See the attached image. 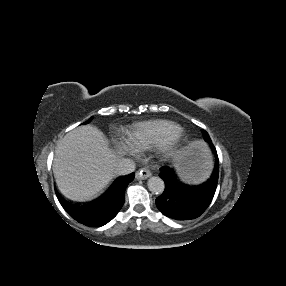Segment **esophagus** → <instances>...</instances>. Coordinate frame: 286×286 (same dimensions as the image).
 Masks as SVG:
<instances>
[{
	"label": "esophagus",
	"instance_id": "1",
	"mask_svg": "<svg viewBox=\"0 0 286 286\" xmlns=\"http://www.w3.org/2000/svg\"><path fill=\"white\" fill-rule=\"evenodd\" d=\"M151 175H152V173L147 167L136 172V178L137 179H147Z\"/></svg>",
	"mask_w": 286,
	"mask_h": 286
}]
</instances>
